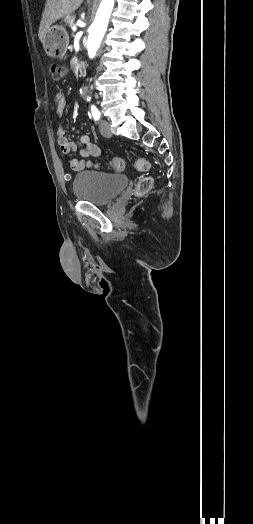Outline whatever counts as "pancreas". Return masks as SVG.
<instances>
[{
	"mask_svg": "<svg viewBox=\"0 0 253 524\" xmlns=\"http://www.w3.org/2000/svg\"><path fill=\"white\" fill-rule=\"evenodd\" d=\"M74 21H75V15H67L64 19V22L66 23V25H68L69 27H72L74 25Z\"/></svg>",
	"mask_w": 253,
	"mask_h": 524,
	"instance_id": "obj_1",
	"label": "pancreas"
}]
</instances>
